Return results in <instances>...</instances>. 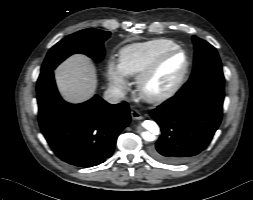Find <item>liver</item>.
<instances>
[{
  "label": "liver",
  "mask_w": 253,
  "mask_h": 200,
  "mask_svg": "<svg viewBox=\"0 0 253 200\" xmlns=\"http://www.w3.org/2000/svg\"><path fill=\"white\" fill-rule=\"evenodd\" d=\"M55 78L62 97L71 103L86 101L92 97L97 86L95 67L82 54L72 55L60 64Z\"/></svg>",
  "instance_id": "6515ba94"
}]
</instances>
